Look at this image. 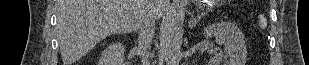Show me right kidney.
<instances>
[{
    "instance_id": "ca27d5eb",
    "label": "right kidney",
    "mask_w": 309,
    "mask_h": 65,
    "mask_svg": "<svg viewBox=\"0 0 309 65\" xmlns=\"http://www.w3.org/2000/svg\"><path fill=\"white\" fill-rule=\"evenodd\" d=\"M124 62V45L116 42L102 53L100 65H123Z\"/></svg>"
}]
</instances>
